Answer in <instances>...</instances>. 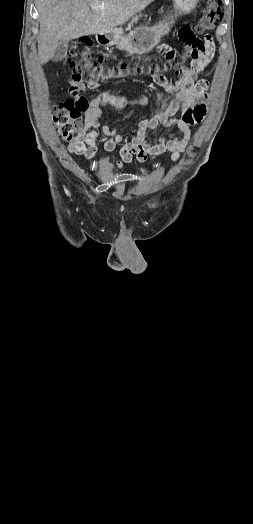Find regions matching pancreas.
Returning a JSON list of instances; mask_svg holds the SVG:
<instances>
[{
  "instance_id": "pancreas-1",
  "label": "pancreas",
  "mask_w": 253,
  "mask_h": 524,
  "mask_svg": "<svg viewBox=\"0 0 253 524\" xmlns=\"http://www.w3.org/2000/svg\"><path fill=\"white\" fill-rule=\"evenodd\" d=\"M140 16H141V15H139V16H135V17L132 18V20H131L130 23L128 24L127 30L131 28V26L133 25V23H137V22H138V19H139ZM114 35H115V37L118 36V32L115 31V32H114Z\"/></svg>"
}]
</instances>
